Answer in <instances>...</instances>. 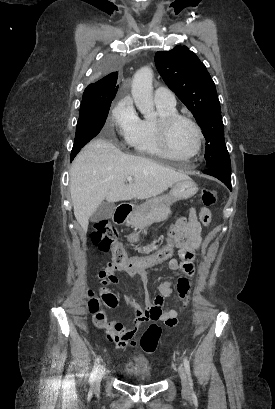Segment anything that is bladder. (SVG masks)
I'll list each match as a JSON object with an SVG mask.
<instances>
[{"mask_svg": "<svg viewBox=\"0 0 275 409\" xmlns=\"http://www.w3.org/2000/svg\"><path fill=\"white\" fill-rule=\"evenodd\" d=\"M128 380L143 383L153 384L155 382L154 374L151 366L147 362L132 361L125 365L124 371Z\"/></svg>", "mask_w": 275, "mask_h": 409, "instance_id": "obj_1", "label": "bladder"}]
</instances>
